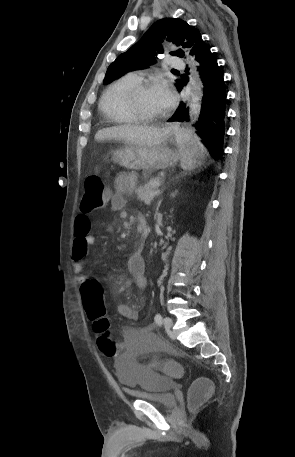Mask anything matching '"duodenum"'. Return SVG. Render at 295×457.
<instances>
[{"instance_id":"410a0bca","label":"duodenum","mask_w":295,"mask_h":457,"mask_svg":"<svg viewBox=\"0 0 295 457\" xmlns=\"http://www.w3.org/2000/svg\"><path fill=\"white\" fill-rule=\"evenodd\" d=\"M139 228L143 238H146L149 234V226L144 217H139Z\"/></svg>"}]
</instances>
